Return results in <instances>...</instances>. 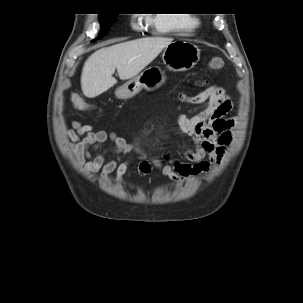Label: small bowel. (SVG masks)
<instances>
[{
    "label": "small bowel",
    "mask_w": 303,
    "mask_h": 303,
    "mask_svg": "<svg viewBox=\"0 0 303 303\" xmlns=\"http://www.w3.org/2000/svg\"><path fill=\"white\" fill-rule=\"evenodd\" d=\"M179 96L184 104L202 106L198 111L182 114L176 129L189 139L183 143L184 156L194 164L171 159L169 151H165L163 161L158 158L148 160L140 144L129 143L115 132L95 130L91 124L72 121V128L65 133V137L72 142L71 149L76 160L87 172L99 173L106 182L110 181L112 174H115L116 182H122L135 160H138L137 173L141 177H147L156 168L173 183H182L200 173L209 172L219 164L232 140L230 129L233 123L222 120L231 109V102L218 86L207 87L196 95L180 93ZM109 140L113 144L106 146ZM128 153H134V156L121 160ZM110 154H116L118 158L107 161L106 157ZM205 156L208 158L205 159Z\"/></svg>",
    "instance_id": "small-bowel-1"
}]
</instances>
